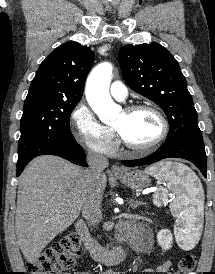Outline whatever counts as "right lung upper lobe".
Wrapping results in <instances>:
<instances>
[{
	"mask_svg": "<svg viewBox=\"0 0 215 274\" xmlns=\"http://www.w3.org/2000/svg\"><path fill=\"white\" fill-rule=\"evenodd\" d=\"M93 58V51L77 42L60 45L40 64L24 103L35 100L78 103Z\"/></svg>",
	"mask_w": 215,
	"mask_h": 274,
	"instance_id": "obj_1",
	"label": "right lung upper lobe"
}]
</instances>
